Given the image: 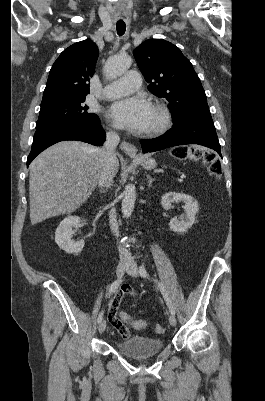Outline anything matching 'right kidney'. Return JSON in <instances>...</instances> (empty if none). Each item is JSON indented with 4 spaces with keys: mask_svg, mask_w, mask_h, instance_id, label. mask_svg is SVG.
Instances as JSON below:
<instances>
[{
    "mask_svg": "<svg viewBox=\"0 0 265 401\" xmlns=\"http://www.w3.org/2000/svg\"><path fill=\"white\" fill-rule=\"evenodd\" d=\"M78 223H81L80 217H66L56 229L55 241L65 253H80L85 245L84 239H80V241H72L71 239L74 233L72 227Z\"/></svg>",
    "mask_w": 265,
    "mask_h": 401,
    "instance_id": "right-kidney-1",
    "label": "right kidney"
}]
</instances>
